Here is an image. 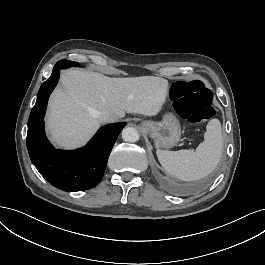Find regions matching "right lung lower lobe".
I'll use <instances>...</instances> for the list:
<instances>
[{"label": "right lung lower lobe", "mask_w": 265, "mask_h": 265, "mask_svg": "<svg viewBox=\"0 0 265 265\" xmlns=\"http://www.w3.org/2000/svg\"><path fill=\"white\" fill-rule=\"evenodd\" d=\"M62 68H66V64L57 62L50 78L40 87L28 120L27 149L32 163L49 183L64 191H82L101 181L112 147L126 123L101 127L83 148L54 149L45 136L43 119Z\"/></svg>", "instance_id": "right-lung-lower-lobe-1"}]
</instances>
